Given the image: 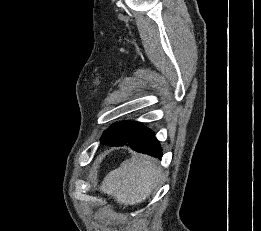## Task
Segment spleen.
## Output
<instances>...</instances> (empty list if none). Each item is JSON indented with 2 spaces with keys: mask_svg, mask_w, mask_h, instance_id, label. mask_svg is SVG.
<instances>
[{
  "mask_svg": "<svg viewBox=\"0 0 261 231\" xmlns=\"http://www.w3.org/2000/svg\"><path fill=\"white\" fill-rule=\"evenodd\" d=\"M161 176L156 160L135 155L107 174L100 189L121 204L134 205L151 194Z\"/></svg>",
  "mask_w": 261,
  "mask_h": 231,
  "instance_id": "1",
  "label": "spleen"
}]
</instances>
